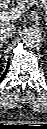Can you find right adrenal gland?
Returning <instances> with one entry per match:
<instances>
[{
  "instance_id": "right-adrenal-gland-1",
  "label": "right adrenal gland",
  "mask_w": 47,
  "mask_h": 129,
  "mask_svg": "<svg viewBox=\"0 0 47 129\" xmlns=\"http://www.w3.org/2000/svg\"><path fill=\"white\" fill-rule=\"evenodd\" d=\"M6 38H7L6 36L1 35V37H0V47H2L3 43H5Z\"/></svg>"
}]
</instances>
